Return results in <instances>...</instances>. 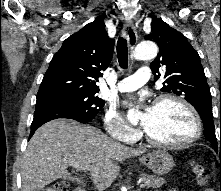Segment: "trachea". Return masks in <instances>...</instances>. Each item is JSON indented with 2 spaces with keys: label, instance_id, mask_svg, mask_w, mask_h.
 <instances>
[{
  "label": "trachea",
  "instance_id": "3493384b",
  "mask_svg": "<svg viewBox=\"0 0 221 191\" xmlns=\"http://www.w3.org/2000/svg\"><path fill=\"white\" fill-rule=\"evenodd\" d=\"M117 57L120 67H128V47L126 39L120 37L117 41Z\"/></svg>",
  "mask_w": 221,
  "mask_h": 191
}]
</instances>
